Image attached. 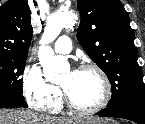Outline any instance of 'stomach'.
<instances>
[{"instance_id": "stomach-1", "label": "stomach", "mask_w": 145, "mask_h": 124, "mask_svg": "<svg viewBox=\"0 0 145 124\" xmlns=\"http://www.w3.org/2000/svg\"><path fill=\"white\" fill-rule=\"evenodd\" d=\"M75 124H115V123L107 119L85 117V118L79 119L77 123Z\"/></svg>"}]
</instances>
